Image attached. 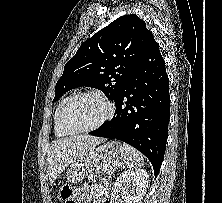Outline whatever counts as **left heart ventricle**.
Here are the masks:
<instances>
[{
	"instance_id": "b2bd125f",
	"label": "left heart ventricle",
	"mask_w": 222,
	"mask_h": 203,
	"mask_svg": "<svg viewBox=\"0 0 222 203\" xmlns=\"http://www.w3.org/2000/svg\"><path fill=\"white\" fill-rule=\"evenodd\" d=\"M106 113L105 105L97 98L83 96L75 99L66 114L68 123L77 128L96 124Z\"/></svg>"
}]
</instances>
